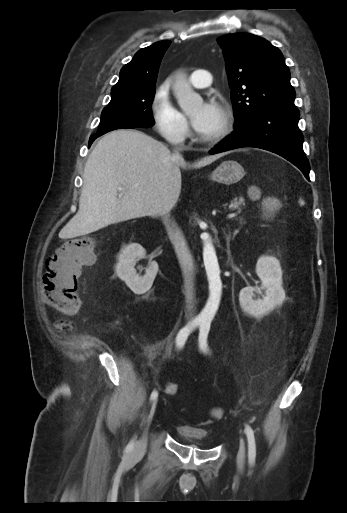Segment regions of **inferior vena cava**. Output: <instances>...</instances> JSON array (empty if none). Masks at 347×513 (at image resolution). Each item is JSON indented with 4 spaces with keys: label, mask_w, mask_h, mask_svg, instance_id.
I'll use <instances>...</instances> for the list:
<instances>
[{
    "label": "inferior vena cava",
    "mask_w": 347,
    "mask_h": 513,
    "mask_svg": "<svg viewBox=\"0 0 347 513\" xmlns=\"http://www.w3.org/2000/svg\"><path fill=\"white\" fill-rule=\"evenodd\" d=\"M174 157L176 159H181V155L179 154L178 149L174 150ZM175 203L176 199L169 194H164L159 200V211L165 224H168L170 221V211ZM169 236L182 269L185 287L186 309L190 313V317H194L195 291L193 259L188 249L187 243L179 230L175 231L173 229H169Z\"/></svg>",
    "instance_id": "602c4592"
}]
</instances>
